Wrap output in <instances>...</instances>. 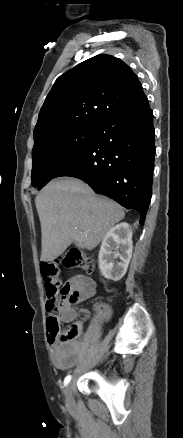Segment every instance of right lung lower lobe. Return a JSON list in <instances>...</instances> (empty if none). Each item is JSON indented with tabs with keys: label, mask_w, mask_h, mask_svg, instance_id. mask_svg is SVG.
I'll use <instances>...</instances> for the list:
<instances>
[{
	"label": "right lung lower lobe",
	"mask_w": 183,
	"mask_h": 438,
	"mask_svg": "<svg viewBox=\"0 0 183 438\" xmlns=\"http://www.w3.org/2000/svg\"><path fill=\"white\" fill-rule=\"evenodd\" d=\"M153 113L145 97L96 126L89 145L56 177L83 180L127 209L141 213L143 224L152 196Z\"/></svg>",
	"instance_id": "1"
}]
</instances>
